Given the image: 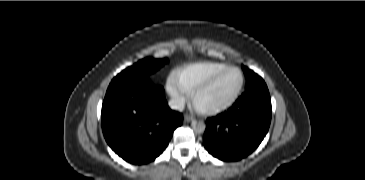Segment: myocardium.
Returning a JSON list of instances; mask_svg holds the SVG:
<instances>
[{"instance_id": "f54148a6", "label": "myocardium", "mask_w": 365, "mask_h": 180, "mask_svg": "<svg viewBox=\"0 0 365 180\" xmlns=\"http://www.w3.org/2000/svg\"><path fill=\"white\" fill-rule=\"evenodd\" d=\"M230 70L238 71L241 76L240 86H239L238 90L236 91V93L234 94V96L228 102H226L222 105L216 106V107H212L209 109H202V108L198 107L196 104V97L198 96V94L201 93L202 91H204L205 89H207L208 87H210L217 78H219L225 72L230 71ZM245 82H246V77H245L243 70L240 67L233 66V65L227 66L226 68L213 74L211 77H209L205 82H203L201 85H199L191 93L192 102L194 103V105L198 109V111H200L201 113L208 114V115L219 114L221 112H224V111L230 109L238 101V99L241 96L243 89L245 87Z\"/></svg>"}]
</instances>
